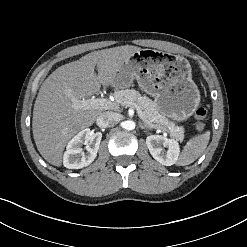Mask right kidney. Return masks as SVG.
<instances>
[{
  "label": "right kidney",
  "mask_w": 247,
  "mask_h": 247,
  "mask_svg": "<svg viewBox=\"0 0 247 247\" xmlns=\"http://www.w3.org/2000/svg\"><path fill=\"white\" fill-rule=\"evenodd\" d=\"M101 138V132L94 133L88 128L80 131L69 141L63 156V165L69 169H80L90 165L97 156ZM84 144L87 145L86 153L82 148Z\"/></svg>",
  "instance_id": "1"
}]
</instances>
